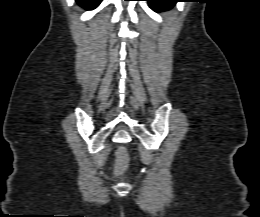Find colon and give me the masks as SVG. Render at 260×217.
<instances>
[{
	"label": "colon",
	"mask_w": 260,
	"mask_h": 217,
	"mask_svg": "<svg viewBox=\"0 0 260 217\" xmlns=\"http://www.w3.org/2000/svg\"><path fill=\"white\" fill-rule=\"evenodd\" d=\"M117 164L114 169L113 175L115 178H122L128 170V153L124 146H119L116 151Z\"/></svg>",
	"instance_id": "1"
}]
</instances>
